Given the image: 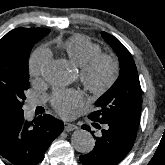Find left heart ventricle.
<instances>
[{
	"mask_svg": "<svg viewBox=\"0 0 165 165\" xmlns=\"http://www.w3.org/2000/svg\"><path fill=\"white\" fill-rule=\"evenodd\" d=\"M107 74V68L106 67H102V69L99 72V78L103 79Z\"/></svg>",
	"mask_w": 165,
	"mask_h": 165,
	"instance_id": "left-heart-ventricle-1",
	"label": "left heart ventricle"
}]
</instances>
